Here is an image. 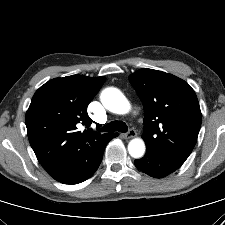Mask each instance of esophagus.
I'll list each match as a JSON object with an SVG mask.
<instances>
[{
    "label": "esophagus",
    "instance_id": "34e87169",
    "mask_svg": "<svg viewBox=\"0 0 225 225\" xmlns=\"http://www.w3.org/2000/svg\"><path fill=\"white\" fill-rule=\"evenodd\" d=\"M122 136L126 139L133 138L136 136V131L134 129H130L127 133L122 134Z\"/></svg>",
    "mask_w": 225,
    "mask_h": 225
}]
</instances>
